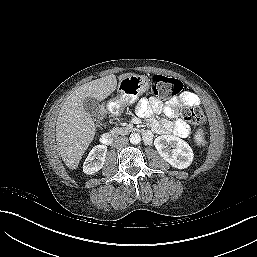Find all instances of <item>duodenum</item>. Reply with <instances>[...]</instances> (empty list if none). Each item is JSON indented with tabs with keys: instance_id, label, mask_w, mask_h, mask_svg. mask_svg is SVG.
Returning a JSON list of instances; mask_svg holds the SVG:
<instances>
[{
	"instance_id": "1",
	"label": "duodenum",
	"mask_w": 257,
	"mask_h": 257,
	"mask_svg": "<svg viewBox=\"0 0 257 257\" xmlns=\"http://www.w3.org/2000/svg\"><path fill=\"white\" fill-rule=\"evenodd\" d=\"M141 133H142L143 137L145 138V140H147V141L150 140L151 135H150V133L148 131L144 130ZM100 142L104 146L111 145L112 144V136H111V134H109V133L102 134V136L100 138Z\"/></svg>"
}]
</instances>
